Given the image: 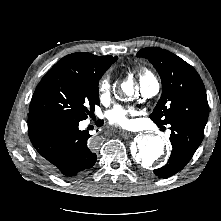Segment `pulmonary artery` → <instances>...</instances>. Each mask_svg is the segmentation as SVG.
<instances>
[{"label":"pulmonary artery","instance_id":"e3ab8cb5","mask_svg":"<svg viewBox=\"0 0 221 221\" xmlns=\"http://www.w3.org/2000/svg\"><path fill=\"white\" fill-rule=\"evenodd\" d=\"M160 85L154 76H149L141 83V92L145 97H152L159 91Z\"/></svg>","mask_w":221,"mask_h":221}]
</instances>
